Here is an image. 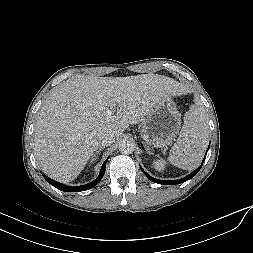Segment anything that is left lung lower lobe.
Returning a JSON list of instances; mask_svg holds the SVG:
<instances>
[{"instance_id":"0a47b994","label":"left lung lower lobe","mask_w":253,"mask_h":253,"mask_svg":"<svg viewBox=\"0 0 253 253\" xmlns=\"http://www.w3.org/2000/svg\"><path fill=\"white\" fill-rule=\"evenodd\" d=\"M209 149V148H208ZM208 149H207V152H208ZM207 154V153H206ZM206 158V155L204 157V160ZM203 160V162H204ZM202 162V164H203ZM202 165H200V167H198L195 171H193L191 174H189L188 176L182 178V179H179V180H172V181H165V180H159V179H156V178H153L151 177L150 175H148L142 168V171L144 172V174L153 182L155 183H158V184H163V185H175V184H180V183H183L191 178H193L198 172L199 170L201 169Z\"/></svg>"}]
</instances>
